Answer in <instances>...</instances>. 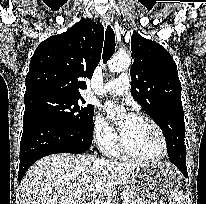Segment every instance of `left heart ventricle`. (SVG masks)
Listing matches in <instances>:
<instances>
[{"instance_id":"b2bd125f","label":"left heart ventricle","mask_w":206,"mask_h":204,"mask_svg":"<svg viewBox=\"0 0 206 204\" xmlns=\"http://www.w3.org/2000/svg\"><path fill=\"white\" fill-rule=\"evenodd\" d=\"M118 125L127 147L135 154L153 158L162 152L160 136L147 121L133 116H125Z\"/></svg>"}]
</instances>
